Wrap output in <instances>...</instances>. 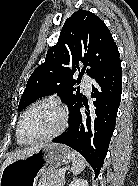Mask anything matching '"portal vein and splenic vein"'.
I'll use <instances>...</instances> for the list:
<instances>
[{
  "instance_id": "obj_1",
  "label": "portal vein and splenic vein",
  "mask_w": 138,
  "mask_h": 186,
  "mask_svg": "<svg viewBox=\"0 0 138 186\" xmlns=\"http://www.w3.org/2000/svg\"><path fill=\"white\" fill-rule=\"evenodd\" d=\"M65 172H66L65 169H61V170L59 171V175L62 176V177H64Z\"/></svg>"
}]
</instances>
